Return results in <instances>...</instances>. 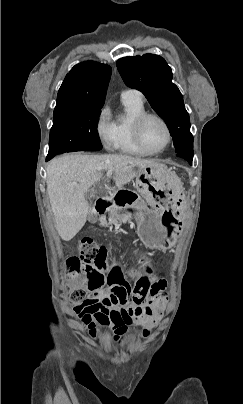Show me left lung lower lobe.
Returning a JSON list of instances; mask_svg holds the SVG:
<instances>
[{"label": "left lung lower lobe", "instance_id": "left-lung-lower-lobe-1", "mask_svg": "<svg viewBox=\"0 0 243 404\" xmlns=\"http://www.w3.org/2000/svg\"><path fill=\"white\" fill-rule=\"evenodd\" d=\"M175 155H176L177 157H181V158L186 159V160L189 162V164H192L193 154L175 153Z\"/></svg>", "mask_w": 243, "mask_h": 404}]
</instances>
